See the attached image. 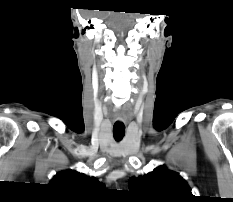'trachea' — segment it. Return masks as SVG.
Listing matches in <instances>:
<instances>
[{
    "mask_svg": "<svg viewBox=\"0 0 233 202\" xmlns=\"http://www.w3.org/2000/svg\"><path fill=\"white\" fill-rule=\"evenodd\" d=\"M113 135L116 141H121L125 135V126L124 125H114L113 126Z\"/></svg>",
    "mask_w": 233,
    "mask_h": 202,
    "instance_id": "3493384b",
    "label": "trachea"
}]
</instances>
